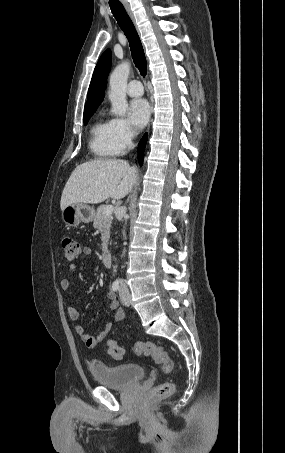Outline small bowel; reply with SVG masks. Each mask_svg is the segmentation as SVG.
<instances>
[{
	"label": "small bowel",
	"mask_w": 285,
	"mask_h": 453,
	"mask_svg": "<svg viewBox=\"0 0 285 453\" xmlns=\"http://www.w3.org/2000/svg\"><path fill=\"white\" fill-rule=\"evenodd\" d=\"M81 253L83 255H90L92 253V250L90 247L85 246L81 249ZM68 270L70 273H73L76 271V265L74 263H71L68 265ZM60 286L62 290L68 291L70 288V280L68 278H64L60 282ZM108 299H109V308L112 310H115L114 314V322H120L124 320L125 318V313L122 309L118 308V302L115 298V295L112 291L108 293ZM68 316L71 321L77 322L79 320V312L76 308L69 306L67 309ZM112 328V323L106 324L104 329L100 331L97 335H90L87 332H85L84 328L80 324H76L74 329L77 335L80 337L81 341L88 347V348H94L97 346L99 342H101L105 337L109 334L110 330Z\"/></svg>",
	"instance_id": "c3829d8e"
}]
</instances>
